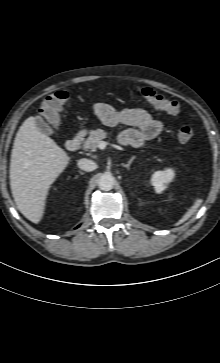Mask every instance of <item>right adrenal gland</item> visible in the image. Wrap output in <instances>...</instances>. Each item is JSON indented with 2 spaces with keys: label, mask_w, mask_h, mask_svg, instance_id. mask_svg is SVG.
Returning a JSON list of instances; mask_svg holds the SVG:
<instances>
[{
  "label": "right adrenal gland",
  "mask_w": 220,
  "mask_h": 363,
  "mask_svg": "<svg viewBox=\"0 0 220 363\" xmlns=\"http://www.w3.org/2000/svg\"><path fill=\"white\" fill-rule=\"evenodd\" d=\"M79 173H80L81 175H84V172H82V171H79Z\"/></svg>",
  "instance_id": "1"
}]
</instances>
